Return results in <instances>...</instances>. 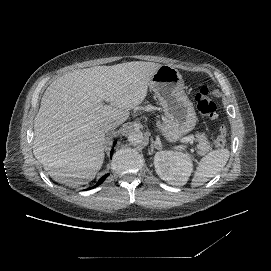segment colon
Listing matches in <instances>:
<instances>
[{"label": "colon", "mask_w": 271, "mask_h": 271, "mask_svg": "<svg viewBox=\"0 0 271 271\" xmlns=\"http://www.w3.org/2000/svg\"><path fill=\"white\" fill-rule=\"evenodd\" d=\"M195 103L199 112L208 119L214 120L218 117V110L215 102L211 97L208 87H201L195 94ZM227 142V130L221 125L218 134L214 140L217 147H224Z\"/></svg>", "instance_id": "5ec220e1"}]
</instances>
